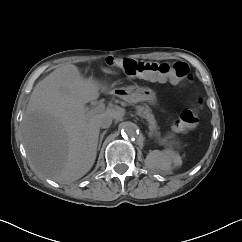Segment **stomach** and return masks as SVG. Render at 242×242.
I'll use <instances>...</instances> for the list:
<instances>
[{"label":"stomach","instance_id":"0dacf381","mask_svg":"<svg viewBox=\"0 0 242 242\" xmlns=\"http://www.w3.org/2000/svg\"><path fill=\"white\" fill-rule=\"evenodd\" d=\"M116 96L129 103L148 102L151 105L156 104V93L149 87L138 85L122 87L112 91Z\"/></svg>","mask_w":242,"mask_h":242}]
</instances>
